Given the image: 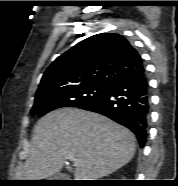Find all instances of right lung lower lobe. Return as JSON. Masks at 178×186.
<instances>
[{
  "instance_id": "right-lung-lower-lobe-1",
  "label": "right lung lower lobe",
  "mask_w": 178,
  "mask_h": 186,
  "mask_svg": "<svg viewBox=\"0 0 178 186\" xmlns=\"http://www.w3.org/2000/svg\"><path fill=\"white\" fill-rule=\"evenodd\" d=\"M78 108L102 114L127 127L143 147L150 113L149 85L144 66L117 77L100 96Z\"/></svg>"
}]
</instances>
